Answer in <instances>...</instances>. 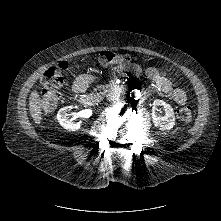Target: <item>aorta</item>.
Returning a JSON list of instances; mask_svg holds the SVG:
<instances>
[{"instance_id": "1", "label": "aorta", "mask_w": 221, "mask_h": 221, "mask_svg": "<svg viewBox=\"0 0 221 221\" xmlns=\"http://www.w3.org/2000/svg\"><path fill=\"white\" fill-rule=\"evenodd\" d=\"M131 97L138 99L140 97V92L138 90L131 92Z\"/></svg>"}]
</instances>
